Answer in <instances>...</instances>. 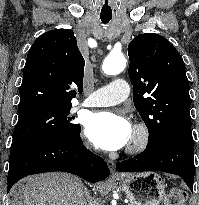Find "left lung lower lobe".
Masks as SVG:
<instances>
[{
    "label": "left lung lower lobe",
    "instance_id": "left-lung-lower-lobe-1",
    "mask_svg": "<svg viewBox=\"0 0 199 205\" xmlns=\"http://www.w3.org/2000/svg\"><path fill=\"white\" fill-rule=\"evenodd\" d=\"M120 172H143L156 170L180 176L193 192L194 142L191 132L177 131L158 143L148 142L139 155L119 162Z\"/></svg>",
    "mask_w": 199,
    "mask_h": 205
}]
</instances>
